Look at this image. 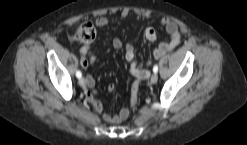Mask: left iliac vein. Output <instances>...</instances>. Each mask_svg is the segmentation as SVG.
<instances>
[{"label": "left iliac vein", "instance_id": "4c4485c4", "mask_svg": "<svg viewBox=\"0 0 247 145\" xmlns=\"http://www.w3.org/2000/svg\"><path fill=\"white\" fill-rule=\"evenodd\" d=\"M157 80H158L157 73H153L152 76H151V78H150V83L151 84H155L157 82Z\"/></svg>", "mask_w": 247, "mask_h": 145}]
</instances>
